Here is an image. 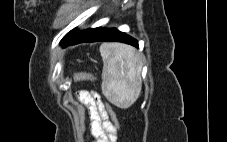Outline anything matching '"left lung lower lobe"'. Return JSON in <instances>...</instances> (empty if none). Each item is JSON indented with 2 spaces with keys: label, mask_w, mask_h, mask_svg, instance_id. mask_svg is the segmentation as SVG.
I'll list each match as a JSON object with an SVG mask.
<instances>
[{
  "label": "left lung lower lobe",
  "mask_w": 227,
  "mask_h": 142,
  "mask_svg": "<svg viewBox=\"0 0 227 142\" xmlns=\"http://www.w3.org/2000/svg\"><path fill=\"white\" fill-rule=\"evenodd\" d=\"M97 41H118L138 47V42L134 38L118 31L115 28L111 29H87L85 31L75 34L71 39L66 41L63 45H75L83 42H97Z\"/></svg>",
  "instance_id": "1"
}]
</instances>
